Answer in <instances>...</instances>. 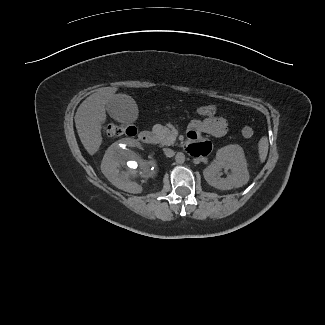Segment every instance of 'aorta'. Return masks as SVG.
Returning <instances> with one entry per match:
<instances>
[{
  "instance_id": "obj_1",
  "label": "aorta",
  "mask_w": 325,
  "mask_h": 325,
  "mask_svg": "<svg viewBox=\"0 0 325 325\" xmlns=\"http://www.w3.org/2000/svg\"><path fill=\"white\" fill-rule=\"evenodd\" d=\"M175 160L178 164H183L185 162V155L179 152L176 154Z\"/></svg>"
}]
</instances>
